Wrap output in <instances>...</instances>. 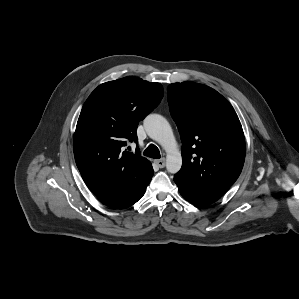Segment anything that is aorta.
<instances>
[{
  "instance_id": "aorta-1",
  "label": "aorta",
  "mask_w": 299,
  "mask_h": 299,
  "mask_svg": "<svg viewBox=\"0 0 299 299\" xmlns=\"http://www.w3.org/2000/svg\"><path fill=\"white\" fill-rule=\"evenodd\" d=\"M144 127L148 136L166 151L167 171L177 173L182 165V157L168 121L159 114H149L144 119Z\"/></svg>"
}]
</instances>
